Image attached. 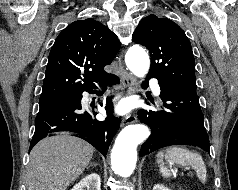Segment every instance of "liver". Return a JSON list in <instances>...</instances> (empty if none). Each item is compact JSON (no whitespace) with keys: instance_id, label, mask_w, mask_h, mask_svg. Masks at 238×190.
<instances>
[{"instance_id":"1","label":"liver","mask_w":238,"mask_h":190,"mask_svg":"<svg viewBox=\"0 0 238 190\" xmlns=\"http://www.w3.org/2000/svg\"><path fill=\"white\" fill-rule=\"evenodd\" d=\"M93 152L89 143L69 133L42 139L30 153L27 190H66L88 166Z\"/></svg>"}]
</instances>
